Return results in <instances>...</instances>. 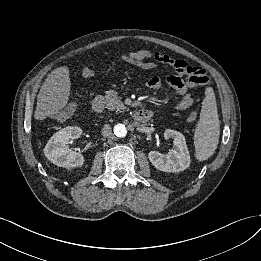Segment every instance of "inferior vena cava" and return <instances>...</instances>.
Returning a JSON list of instances; mask_svg holds the SVG:
<instances>
[{
  "instance_id": "obj_1",
  "label": "inferior vena cava",
  "mask_w": 261,
  "mask_h": 261,
  "mask_svg": "<svg viewBox=\"0 0 261 261\" xmlns=\"http://www.w3.org/2000/svg\"><path fill=\"white\" fill-rule=\"evenodd\" d=\"M102 135L104 136V137H109V136H111V134H112V129H111V126L109 125V124H105L104 126H103V128H102Z\"/></svg>"
}]
</instances>
